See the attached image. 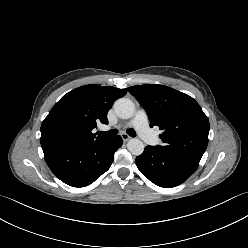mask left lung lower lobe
Here are the masks:
<instances>
[{"mask_svg": "<svg viewBox=\"0 0 248 248\" xmlns=\"http://www.w3.org/2000/svg\"><path fill=\"white\" fill-rule=\"evenodd\" d=\"M136 165L151 182L170 188L186 181L197 169L199 161L168 154L148 145L136 158Z\"/></svg>", "mask_w": 248, "mask_h": 248, "instance_id": "1", "label": "left lung lower lobe"}]
</instances>
